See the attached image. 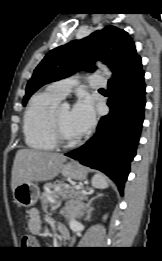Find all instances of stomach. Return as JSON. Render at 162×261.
<instances>
[{
    "instance_id": "0dacf381",
    "label": "stomach",
    "mask_w": 162,
    "mask_h": 261,
    "mask_svg": "<svg viewBox=\"0 0 162 261\" xmlns=\"http://www.w3.org/2000/svg\"><path fill=\"white\" fill-rule=\"evenodd\" d=\"M60 172L64 177L76 180H83L87 175L86 170L77 162H69L62 165ZM39 196V187L34 183H22L13 191L15 202L24 207L33 206L37 202Z\"/></svg>"
}]
</instances>
